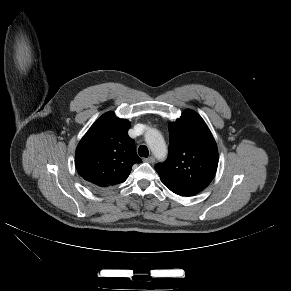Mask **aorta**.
I'll list each match as a JSON object with an SVG mask.
<instances>
[{
  "label": "aorta",
  "mask_w": 291,
  "mask_h": 291,
  "mask_svg": "<svg viewBox=\"0 0 291 291\" xmlns=\"http://www.w3.org/2000/svg\"><path fill=\"white\" fill-rule=\"evenodd\" d=\"M145 141L154 156L163 160L167 155V147L162 134L156 129H149L145 133Z\"/></svg>",
  "instance_id": "1"
}]
</instances>
